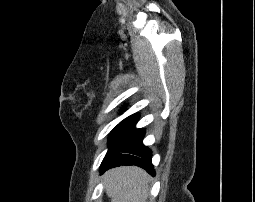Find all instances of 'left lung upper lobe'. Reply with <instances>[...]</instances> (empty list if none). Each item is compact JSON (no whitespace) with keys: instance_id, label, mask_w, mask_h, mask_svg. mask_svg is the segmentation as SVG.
<instances>
[{"instance_id":"left-lung-upper-lobe-1","label":"left lung upper lobe","mask_w":255,"mask_h":202,"mask_svg":"<svg viewBox=\"0 0 255 202\" xmlns=\"http://www.w3.org/2000/svg\"><path fill=\"white\" fill-rule=\"evenodd\" d=\"M138 114H133L121 121L109 135V149L103 160L108 162L112 160L124 147L125 143L138 130L135 124L138 120Z\"/></svg>"}]
</instances>
